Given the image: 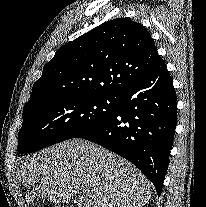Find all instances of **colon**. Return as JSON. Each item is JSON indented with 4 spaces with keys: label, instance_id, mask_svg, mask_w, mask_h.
Wrapping results in <instances>:
<instances>
[{
    "label": "colon",
    "instance_id": "1",
    "mask_svg": "<svg viewBox=\"0 0 206 207\" xmlns=\"http://www.w3.org/2000/svg\"><path fill=\"white\" fill-rule=\"evenodd\" d=\"M57 207V206H56ZM60 207V206H59ZM61 207H69V206H61Z\"/></svg>",
    "mask_w": 206,
    "mask_h": 207
}]
</instances>
